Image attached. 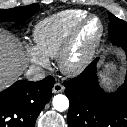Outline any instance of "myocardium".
Instances as JSON below:
<instances>
[{"label":"myocardium","instance_id":"f54148a6","mask_svg":"<svg viewBox=\"0 0 127 127\" xmlns=\"http://www.w3.org/2000/svg\"><path fill=\"white\" fill-rule=\"evenodd\" d=\"M91 20H97L99 23V31L92 42L87 47L83 56L78 59H73V54L78 42L79 35L84 26ZM104 24L96 15H87L83 18L71 31L66 39L63 47L58 54V65L60 70L67 75H77L84 71L93 59L95 52L101 44L104 36Z\"/></svg>","mask_w":127,"mask_h":127}]
</instances>
